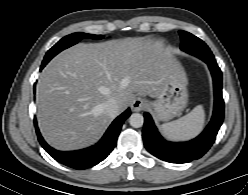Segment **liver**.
Instances as JSON below:
<instances>
[{
  "instance_id": "6515ba94",
  "label": "liver",
  "mask_w": 248,
  "mask_h": 195,
  "mask_svg": "<svg viewBox=\"0 0 248 195\" xmlns=\"http://www.w3.org/2000/svg\"><path fill=\"white\" fill-rule=\"evenodd\" d=\"M180 66L168 48L145 37L77 44L53 58L37 84V118L46 141L68 151L97 142L115 117L102 105L117 100L119 113L134 93L156 98Z\"/></svg>"
}]
</instances>
